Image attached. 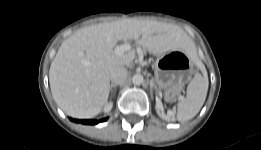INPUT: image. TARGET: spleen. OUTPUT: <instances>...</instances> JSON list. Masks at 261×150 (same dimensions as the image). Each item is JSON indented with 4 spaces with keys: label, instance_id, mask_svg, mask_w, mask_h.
I'll return each mask as SVG.
<instances>
[{
    "label": "spleen",
    "instance_id": "1",
    "mask_svg": "<svg viewBox=\"0 0 261 150\" xmlns=\"http://www.w3.org/2000/svg\"><path fill=\"white\" fill-rule=\"evenodd\" d=\"M209 81L207 72L195 74L187 86V95L178 103L177 120L184 122L195 117L202 108L208 91Z\"/></svg>",
    "mask_w": 261,
    "mask_h": 150
}]
</instances>
